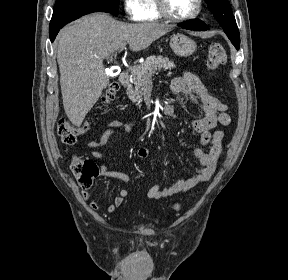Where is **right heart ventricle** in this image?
<instances>
[{"label":"right heart ventricle","mask_w":288,"mask_h":280,"mask_svg":"<svg viewBox=\"0 0 288 280\" xmlns=\"http://www.w3.org/2000/svg\"><path fill=\"white\" fill-rule=\"evenodd\" d=\"M142 4V21H157L161 19L162 16L158 12L156 0H143Z\"/></svg>","instance_id":"e07e8e85"}]
</instances>
